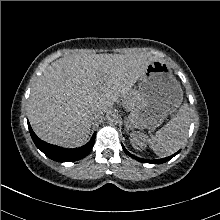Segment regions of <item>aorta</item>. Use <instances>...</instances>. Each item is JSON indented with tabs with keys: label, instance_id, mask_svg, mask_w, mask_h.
Instances as JSON below:
<instances>
[{
	"label": "aorta",
	"instance_id": "762f6f07",
	"mask_svg": "<svg viewBox=\"0 0 220 220\" xmlns=\"http://www.w3.org/2000/svg\"><path fill=\"white\" fill-rule=\"evenodd\" d=\"M118 115L115 112H111L107 115V121L110 124H116L118 122Z\"/></svg>",
	"mask_w": 220,
	"mask_h": 220
}]
</instances>
